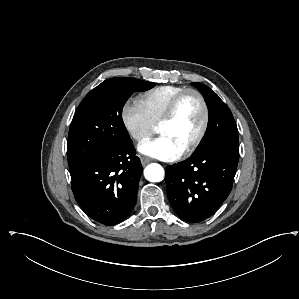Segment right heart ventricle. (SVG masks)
Instances as JSON below:
<instances>
[{
    "label": "right heart ventricle",
    "mask_w": 299,
    "mask_h": 299,
    "mask_svg": "<svg viewBox=\"0 0 299 299\" xmlns=\"http://www.w3.org/2000/svg\"><path fill=\"white\" fill-rule=\"evenodd\" d=\"M185 89L187 88L177 85L158 86L140 95L137 102L150 121L154 125H158L172 100Z\"/></svg>",
    "instance_id": "right-heart-ventricle-1"
}]
</instances>
